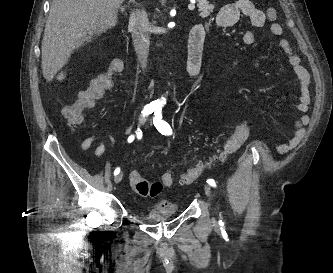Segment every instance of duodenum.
Returning <instances> with one entry per match:
<instances>
[{"instance_id":"1","label":"duodenum","mask_w":333,"mask_h":273,"mask_svg":"<svg viewBox=\"0 0 333 273\" xmlns=\"http://www.w3.org/2000/svg\"><path fill=\"white\" fill-rule=\"evenodd\" d=\"M205 39V29L201 24L196 25L189 36L188 59L184 75L190 79H195L200 75L202 68L203 45ZM138 48H144V42L139 40ZM151 65L158 70H164V66L158 59H152Z\"/></svg>"}]
</instances>
